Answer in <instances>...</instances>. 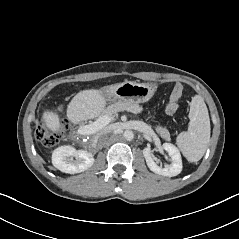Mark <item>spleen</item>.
Instances as JSON below:
<instances>
[{"label": "spleen", "instance_id": "obj_1", "mask_svg": "<svg viewBox=\"0 0 239 239\" xmlns=\"http://www.w3.org/2000/svg\"><path fill=\"white\" fill-rule=\"evenodd\" d=\"M189 126L176 139V144L189 162L199 161L210 140V118L204 99L200 95L192 98L189 112Z\"/></svg>", "mask_w": 239, "mask_h": 239}]
</instances>
